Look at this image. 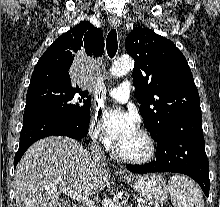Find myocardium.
<instances>
[{"label": "myocardium", "instance_id": "1", "mask_svg": "<svg viewBox=\"0 0 220 207\" xmlns=\"http://www.w3.org/2000/svg\"><path fill=\"white\" fill-rule=\"evenodd\" d=\"M142 135L143 137L146 139L147 143H148V151L147 153L142 156V157H128L125 156L121 153L118 145L115 148V154L116 156L126 162V163H130V164H144L149 162L150 160H152L156 154V141L153 137V135L145 128L139 127L137 129Z\"/></svg>", "mask_w": 220, "mask_h": 207}]
</instances>
